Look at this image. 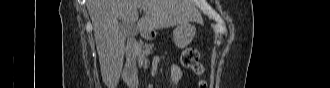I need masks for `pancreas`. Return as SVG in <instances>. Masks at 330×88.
<instances>
[{
    "instance_id": "cf45deb5",
    "label": "pancreas",
    "mask_w": 330,
    "mask_h": 88,
    "mask_svg": "<svg viewBox=\"0 0 330 88\" xmlns=\"http://www.w3.org/2000/svg\"><path fill=\"white\" fill-rule=\"evenodd\" d=\"M152 48L153 47L151 45H147L145 47V50L143 51V54L140 55V58H143L145 54H148V53L152 52Z\"/></svg>"
}]
</instances>
